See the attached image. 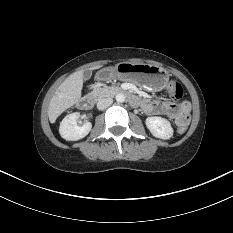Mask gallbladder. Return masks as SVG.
Listing matches in <instances>:
<instances>
[{
  "instance_id": "1",
  "label": "gallbladder",
  "mask_w": 233,
  "mask_h": 233,
  "mask_svg": "<svg viewBox=\"0 0 233 233\" xmlns=\"http://www.w3.org/2000/svg\"><path fill=\"white\" fill-rule=\"evenodd\" d=\"M91 75H92L91 70L85 69V70L83 71V78H84L85 80L90 79Z\"/></svg>"
}]
</instances>
